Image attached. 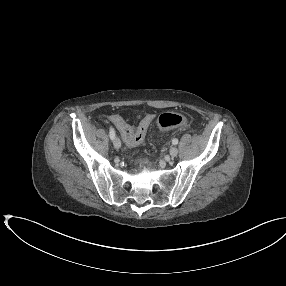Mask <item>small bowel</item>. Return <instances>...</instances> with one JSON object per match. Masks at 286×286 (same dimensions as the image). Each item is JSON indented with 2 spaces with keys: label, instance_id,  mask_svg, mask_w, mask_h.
<instances>
[{
  "label": "small bowel",
  "instance_id": "c3829d8e",
  "mask_svg": "<svg viewBox=\"0 0 286 286\" xmlns=\"http://www.w3.org/2000/svg\"><path fill=\"white\" fill-rule=\"evenodd\" d=\"M153 119H154V115H151V114H150V115L145 116V117L140 121V123L146 121V122H148L149 125H150L151 122L153 121ZM108 120H109L110 122H112V123L117 127V129L121 132V134H122V136H123L125 142H126V139H127L129 136H131V135L134 134V129H133V127H132L129 123H127V122L124 120V118L121 117L120 115H118V114L110 115V116L108 117ZM140 123H139V124H140Z\"/></svg>",
  "mask_w": 286,
  "mask_h": 286
}]
</instances>
